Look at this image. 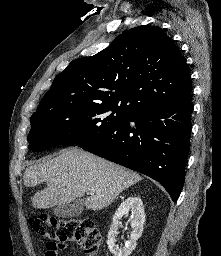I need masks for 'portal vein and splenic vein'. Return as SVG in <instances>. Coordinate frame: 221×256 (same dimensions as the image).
Returning a JSON list of instances; mask_svg holds the SVG:
<instances>
[{"instance_id":"18ae733b","label":"portal vein and splenic vein","mask_w":221,"mask_h":256,"mask_svg":"<svg viewBox=\"0 0 221 256\" xmlns=\"http://www.w3.org/2000/svg\"><path fill=\"white\" fill-rule=\"evenodd\" d=\"M90 194H94V192H90Z\"/></svg>"}]
</instances>
